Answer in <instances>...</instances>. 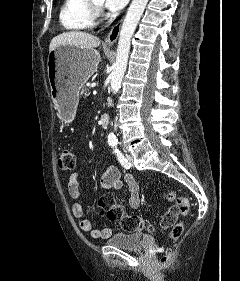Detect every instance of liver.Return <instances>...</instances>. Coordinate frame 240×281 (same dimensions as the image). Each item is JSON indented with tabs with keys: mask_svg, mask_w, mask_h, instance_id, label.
<instances>
[{
	"mask_svg": "<svg viewBox=\"0 0 240 281\" xmlns=\"http://www.w3.org/2000/svg\"><path fill=\"white\" fill-rule=\"evenodd\" d=\"M101 41L95 35L83 31H69L55 36L49 45V52L60 45H69L79 48H95Z\"/></svg>",
	"mask_w": 240,
	"mask_h": 281,
	"instance_id": "liver-1",
	"label": "liver"
}]
</instances>
